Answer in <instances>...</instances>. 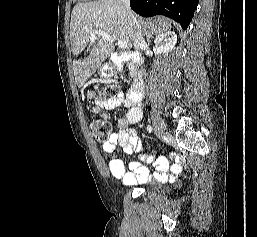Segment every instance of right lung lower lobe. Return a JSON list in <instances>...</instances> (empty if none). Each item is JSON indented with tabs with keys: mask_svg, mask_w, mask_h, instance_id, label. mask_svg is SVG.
Listing matches in <instances>:
<instances>
[{
	"mask_svg": "<svg viewBox=\"0 0 257 237\" xmlns=\"http://www.w3.org/2000/svg\"><path fill=\"white\" fill-rule=\"evenodd\" d=\"M199 0H130L131 8L141 16L164 15L178 22L182 29L189 26Z\"/></svg>",
	"mask_w": 257,
	"mask_h": 237,
	"instance_id": "98d812e1",
	"label": "right lung lower lobe"
}]
</instances>
